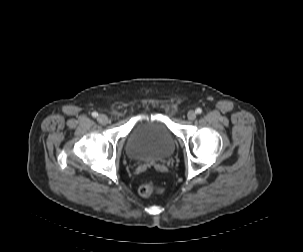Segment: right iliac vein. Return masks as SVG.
I'll return each instance as SVG.
<instances>
[{
	"mask_svg": "<svg viewBox=\"0 0 303 252\" xmlns=\"http://www.w3.org/2000/svg\"><path fill=\"white\" fill-rule=\"evenodd\" d=\"M98 122L101 123V124H107L108 121H109V118L107 117V115L105 114H100L97 118Z\"/></svg>",
	"mask_w": 303,
	"mask_h": 252,
	"instance_id": "obj_1",
	"label": "right iliac vein"
}]
</instances>
